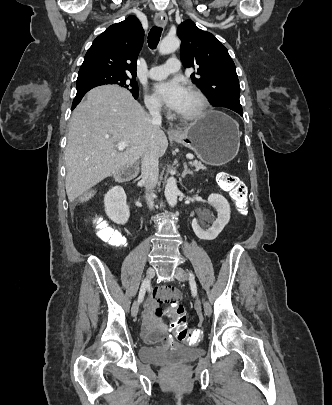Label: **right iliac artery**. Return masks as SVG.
Wrapping results in <instances>:
<instances>
[{"instance_id": "right-iliac-artery-1", "label": "right iliac artery", "mask_w": 332, "mask_h": 405, "mask_svg": "<svg viewBox=\"0 0 332 405\" xmlns=\"http://www.w3.org/2000/svg\"><path fill=\"white\" fill-rule=\"evenodd\" d=\"M150 280L145 279L141 285L139 296H138V302L141 303L144 299L145 293L147 288L149 287Z\"/></svg>"}]
</instances>
